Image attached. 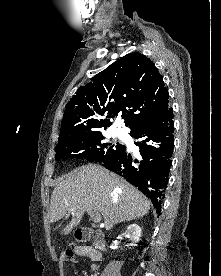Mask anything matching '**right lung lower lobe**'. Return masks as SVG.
<instances>
[{"instance_id": "obj_1", "label": "right lung lower lobe", "mask_w": 221, "mask_h": 276, "mask_svg": "<svg viewBox=\"0 0 221 276\" xmlns=\"http://www.w3.org/2000/svg\"><path fill=\"white\" fill-rule=\"evenodd\" d=\"M173 111L169 109L155 120L133 128L130 135L139 139L140 157L133 159L125 149L103 166L136 186L148 198L160 215L164 192L168 184L174 148Z\"/></svg>"}]
</instances>
